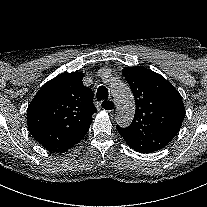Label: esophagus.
Masks as SVG:
<instances>
[{"label": "esophagus", "instance_id": "obj_1", "mask_svg": "<svg viewBox=\"0 0 207 207\" xmlns=\"http://www.w3.org/2000/svg\"><path fill=\"white\" fill-rule=\"evenodd\" d=\"M100 106L108 113L114 112L117 108L116 103L108 98L103 99L100 103Z\"/></svg>", "mask_w": 207, "mask_h": 207}]
</instances>
